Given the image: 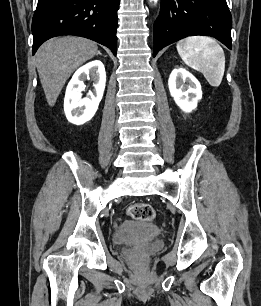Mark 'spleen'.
Returning a JSON list of instances; mask_svg holds the SVG:
<instances>
[{"label": "spleen", "mask_w": 261, "mask_h": 306, "mask_svg": "<svg viewBox=\"0 0 261 306\" xmlns=\"http://www.w3.org/2000/svg\"><path fill=\"white\" fill-rule=\"evenodd\" d=\"M176 48L184 63L203 73L211 86L218 87L221 84L225 55L215 40L206 36H190L179 41Z\"/></svg>", "instance_id": "spleen-1"}]
</instances>
